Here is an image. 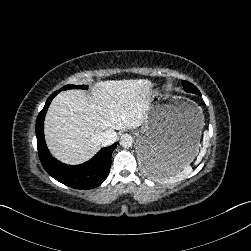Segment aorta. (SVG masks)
I'll return each instance as SVG.
<instances>
[{
    "instance_id": "762f6f07",
    "label": "aorta",
    "mask_w": 251,
    "mask_h": 251,
    "mask_svg": "<svg viewBox=\"0 0 251 251\" xmlns=\"http://www.w3.org/2000/svg\"><path fill=\"white\" fill-rule=\"evenodd\" d=\"M120 145L124 148L131 147L134 143V138L129 133H125L120 137Z\"/></svg>"
}]
</instances>
